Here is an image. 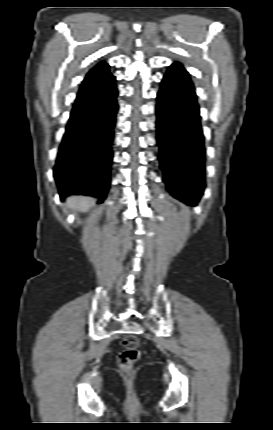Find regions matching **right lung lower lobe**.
<instances>
[{"instance_id":"1","label":"right lung lower lobe","mask_w":273,"mask_h":430,"mask_svg":"<svg viewBox=\"0 0 273 430\" xmlns=\"http://www.w3.org/2000/svg\"><path fill=\"white\" fill-rule=\"evenodd\" d=\"M114 81L110 75L92 83L86 94L76 99L54 167L61 198L85 194L98 197V203L106 198L118 111Z\"/></svg>"}]
</instances>
